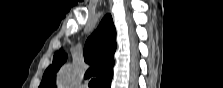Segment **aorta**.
<instances>
[{"mask_svg": "<svg viewBox=\"0 0 223 88\" xmlns=\"http://www.w3.org/2000/svg\"><path fill=\"white\" fill-rule=\"evenodd\" d=\"M71 79V68L69 65H65L58 75V86L61 88H67Z\"/></svg>", "mask_w": 223, "mask_h": 88, "instance_id": "762f6f07", "label": "aorta"}]
</instances>
